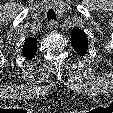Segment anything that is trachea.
Segmentation results:
<instances>
[{
	"instance_id": "3493384b",
	"label": "trachea",
	"mask_w": 113,
	"mask_h": 113,
	"mask_svg": "<svg viewBox=\"0 0 113 113\" xmlns=\"http://www.w3.org/2000/svg\"><path fill=\"white\" fill-rule=\"evenodd\" d=\"M47 19H48V22L56 20V14H55L53 9H49L48 10V12H47Z\"/></svg>"
}]
</instances>
